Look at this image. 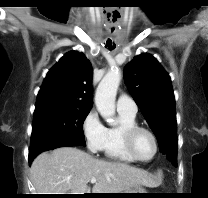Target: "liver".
Here are the masks:
<instances>
[{"label": "liver", "mask_w": 208, "mask_h": 198, "mask_svg": "<svg viewBox=\"0 0 208 198\" xmlns=\"http://www.w3.org/2000/svg\"><path fill=\"white\" fill-rule=\"evenodd\" d=\"M30 173L37 194H85L92 178L96 179L92 193H121L135 186L157 185L146 171L99 160L74 147L41 153L32 162Z\"/></svg>", "instance_id": "obj_1"}]
</instances>
